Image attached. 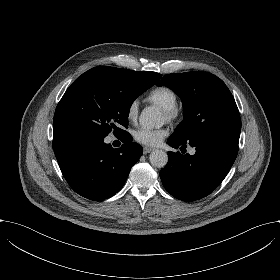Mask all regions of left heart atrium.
<instances>
[{
	"instance_id": "39dd6f15",
	"label": "left heart atrium",
	"mask_w": 280,
	"mask_h": 280,
	"mask_svg": "<svg viewBox=\"0 0 280 280\" xmlns=\"http://www.w3.org/2000/svg\"><path fill=\"white\" fill-rule=\"evenodd\" d=\"M167 135L165 128H145L141 127L133 131L134 140L146 146H156Z\"/></svg>"
}]
</instances>
